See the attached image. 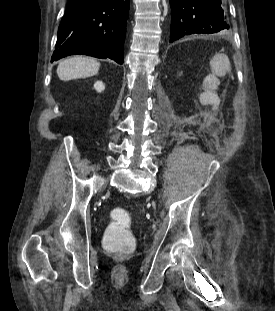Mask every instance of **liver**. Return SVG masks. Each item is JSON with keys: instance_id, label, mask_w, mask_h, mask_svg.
I'll use <instances>...</instances> for the list:
<instances>
[{"instance_id": "1", "label": "liver", "mask_w": 275, "mask_h": 311, "mask_svg": "<svg viewBox=\"0 0 275 311\" xmlns=\"http://www.w3.org/2000/svg\"><path fill=\"white\" fill-rule=\"evenodd\" d=\"M100 63L92 58L75 56L62 60L57 67V75L62 81L94 76L98 73Z\"/></svg>"}]
</instances>
